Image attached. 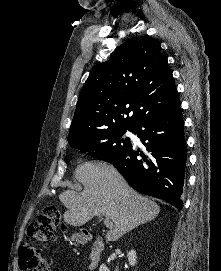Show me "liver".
<instances>
[{
  "instance_id": "liver-1",
  "label": "liver",
  "mask_w": 221,
  "mask_h": 271,
  "mask_svg": "<svg viewBox=\"0 0 221 271\" xmlns=\"http://www.w3.org/2000/svg\"><path fill=\"white\" fill-rule=\"evenodd\" d=\"M75 175L83 189L80 193H60L67 207L64 221L79 227L94 215H109L113 227L108 229L106 241H117L130 229L154 219L160 211V205L132 189L113 165L84 161L76 167Z\"/></svg>"
}]
</instances>
